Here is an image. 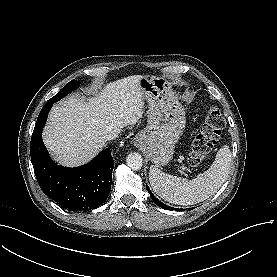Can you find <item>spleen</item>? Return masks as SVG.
Instances as JSON below:
<instances>
[{"instance_id": "obj_1", "label": "spleen", "mask_w": 277, "mask_h": 277, "mask_svg": "<svg viewBox=\"0 0 277 277\" xmlns=\"http://www.w3.org/2000/svg\"><path fill=\"white\" fill-rule=\"evenodd\" d=\"M231 160L229 146H222L210 168L192 180L166 174L152 165L150 184L153 191L165 201L178 205L197 204L214 195L226 181Z\"/></svg>"}]
</instances>
